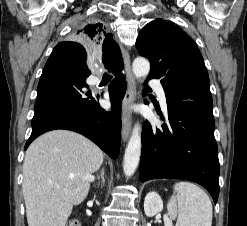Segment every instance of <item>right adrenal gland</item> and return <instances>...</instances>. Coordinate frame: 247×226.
Returning a JSON list of instances; mask_svg holds the SVG:
<instances>
[{"instance_id": "1", "label": "right adrenal gland", "mask_w": 247, "mask_h": 226, "mask_svg": "<svg viewBox=\"0 0 247 226\" xmlns=\"http://www.w3.org/2000/svg\"><path fill=\"white\" fill-rule=\"evenodd\" d=\"M101 179H102L101 185H103V184L105 183V179H104V169L101 170Z\"/></svg>"}]
</instances>
